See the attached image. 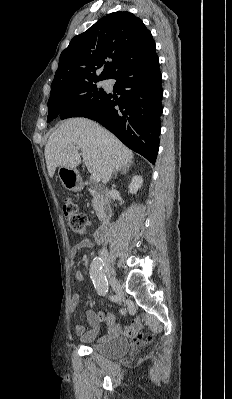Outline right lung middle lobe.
Listing matches in <instances>:
<instances>
[{
	"instance_id": "right-lung-middle-lobe-1",
	"label": "right lung middle lobe",
	"mask_w": 232,
	"mask_h": 399,
	"mask_svg": "<svg viewBox=\"0 0 232 399\" xmlns=\"http://www.w3.org/2000/svg\"><path fill=\"white\" fill-rule=\"evenodd\" d=\"M97 81L83 83L74 89L60 94L51 95L48 100L47 122L63 113L69 118L79 111L94 108L99 105L107 93L94 84Z\"/></svg>"
}]
</instances>
